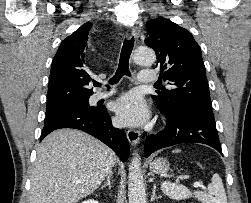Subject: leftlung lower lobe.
Instances as JSON below:
<instances>
[{"mask_svg": "<svg viewBox=\"0 0 251 203\" xmlns=\"http://www.w3.org/2000/svg\"><path fill=\"white\" fill-rule=\"evenodd\" d=\"M159 110L166 117L167 124L163 131L147 137L145 157L161 148L188 142L207 144L222 154L214 116L194 109L183 110L175 115Z\"/></svg>", "mask_w": 251, "mask_h": 203, "instance_id": "left-lung-lower-lobe-1", "label": "left lung lower lobe"}]
</instances>
